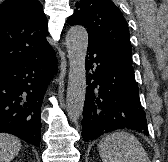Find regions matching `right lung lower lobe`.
Returning <instances> with one entry per match:
<instances>
[{
  "mask_svg": "<svg viewBox=\"0 0 168 162\" xmlns=\"http://www.w3.org/2000/svg\"><path fill=\"white\" fill-rule=\"evenodd\" d=\"M56 69L52 50L42 58L19 63L0 74V132L39 147L41 105Z\"/></svg>",
  "mask_w": 168,
  "mask_h": 162,
  "instance_id": "1",
  "label": "right lung lower lobe"
}]
</instances>
